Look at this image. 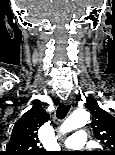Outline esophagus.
I'll list each match as a JSON object with an SVG mask.
<instances>
[{
    "label": "esophagus",
    "instance_id": "esophagus-1",
    "mask_svg": "<svg viewBox=\"0 0 115 155\" xmlns=\"http://www.w3.org/2000/svg\"><path fill=\"white\" fill-rule=\"evenodd\" d=\"M72 98L71 97H68L66 100H65V104L66 105H71L72 104Z\"/></svg>",
    "mask_w": 115,
    "mask_h": 155
}]
</instances>
